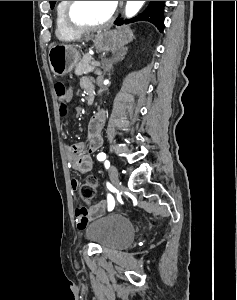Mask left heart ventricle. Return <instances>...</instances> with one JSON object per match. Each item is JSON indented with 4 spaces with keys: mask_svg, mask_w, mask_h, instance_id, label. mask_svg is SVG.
<instances>
[{
    "mask_svg": "<svg viewBox=\"0 0 237 300\" xmlns=\"http://www.w3.org/2000/svg\"><path fill=\"white\" fill-rule=\"evenodd\" d=\"M113 10L110 1H78L73 16L79 24L98 25L105 22Z\"/></svg>",
    "mask_w": 237,
    "mask_h": 300,
    "instance_id": "left-heart-ventricle-1",
    "label": "left heart ventricle"
}]
</instances>
